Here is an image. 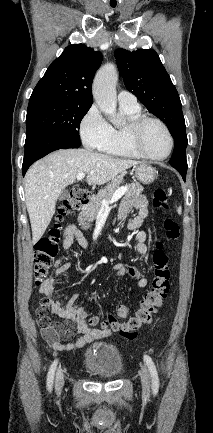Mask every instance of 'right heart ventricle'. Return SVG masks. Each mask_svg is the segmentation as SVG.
I'll list each match as a JSON object with an SVG mask.
<instances>
[{
	"mask_svg": "<svg viewBox=\"0 0 213 433\" xmlns=\"http://www.w3.org/2000/svg\"><path fill=\"white\" fill-rule=\"evenodd\" d=\"M120 109L127 116L128 123L124 126H110L109 135L99 150L112 156L140 158L141 156L130 146L126 130L130 121L142 115L141 109L125 106H120Z\"/></svg>",
	"mask_w": 213,
	"mask_h": 433,
	"instance_id": "e07e8e85",
	"label": "right heart ventricle"
}]
</instances>
